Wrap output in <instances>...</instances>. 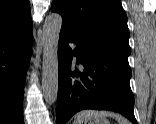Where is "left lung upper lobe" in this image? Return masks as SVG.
<instances>
[{
	"label": "left lung upper lobe",
	"instance_id": "5c2ea615",
	"mask_svg": "<svg viewBox=\"0 0 156 124\" xmlns=\"http://www.w3.org/2000/svg\"><path fill=\"white\" fill-rule=\"evenodd\" d=\"M51 9L62 16V27L90 42L131 53L127 16L120 0H53Z\"/></svg>",
	"mask_w": 156,
	"mask_h": 124
}]
</instances>
